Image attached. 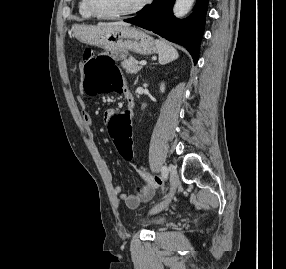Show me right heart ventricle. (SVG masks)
<instances>
[{
	"mask_svg": "<svg viewBox=\"0 0 286 269\" xmlns=\"http://www.w3.org/2000/svg\"><path fill=\"white\" fill-rule=\"evenodd\" d=\"M79 14L84 18H92L93 15L90 13V11L87 8L86 0H80L79 1Z\"/></svg>",
	"mask_w": 286,
	"mask_h": 269,
	"instance_id": "right-heart-ventricle-1",
	"label": "right heart ventricle"
}]
</instances>
